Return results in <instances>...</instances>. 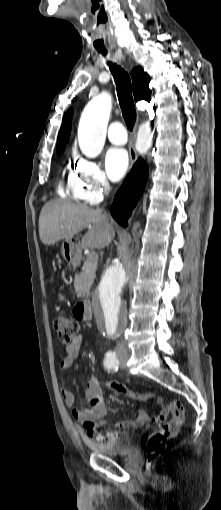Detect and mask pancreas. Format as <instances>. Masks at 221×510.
Segmentation results:
<instances>
[{
    "instance_id": "obj_1",
    "label": "pancreas",
    "mask_w": 221,
    "mask_h": 510,
    "mask_svg": "<svg viewBox=\"0 0 221 510\" xmlns=\"http://www.w3.org/2000/svg\"><path fill=\"white\" fill-rule=\"evenodd\" d=\"M97 262L89 264L84 262L82 272L75 276L74 287L79 297H86L89 294L90 287L95 279Z\"/></svg>"
}]
</instances>
